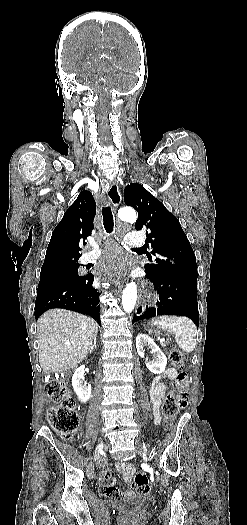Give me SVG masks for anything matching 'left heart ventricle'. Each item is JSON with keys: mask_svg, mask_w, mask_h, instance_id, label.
I'll return each mask as SVG.
<instances>
[{"mask_svg": "<svg viewBox=\"0 0 247 525\" xmlns=\"http://www.w3.org/2000/svg\"><path fill=\"white\" fill-rule=\"evenodd\" d=\"M137 264H133L132 262L128 265L127 271H130L136 267Z\"/></svg>", "mask_w": 247, "mask_h": 525, "instance_id": "left-heart-ventricle-1", "label": "left heart ventricle"}]
</instances>
